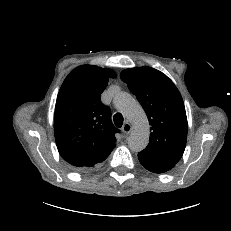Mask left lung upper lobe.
Instances as JSON below:
<instances>
[{"instance_id":"left-lung-upper-lobe-1","label":"left lung upper lobe","mask_w":231,"mask_h":231,"mask_svg":"<svg viewBox=\"0 0 231 231\" xmlns=\"http://www.w3.org/2000/svg\"><path fill=\"white\" fill-rule=\"evenodd\" d=\"M121 79L143 106L151 134L143 156L176 164L187 141V117L183 99L174 83L151 67L125 69Z\"/></svg>"}]
</instances>
